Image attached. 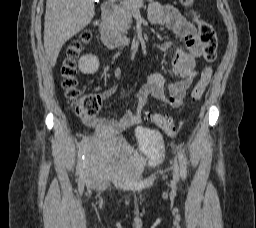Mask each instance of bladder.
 I'll return each instance as SVG.
<instances>
[{"label":"bladder","instance_id":"obj_1","mask_svg":"<svg viewBox=\"0 0 256 228\" xmlns=\"http://www.w3.org/2000/svg\"><path fill=\"white\" fill-rule=\"evenodd\" d=\"M141 140L145 152L114 135L92 136L86 139L87 163L96 174L107 178H138L158 164L165 150L163 138L155 132L144 131Z\"/></svg>","mask_w":256,"mask_h":228}]
</instances>
